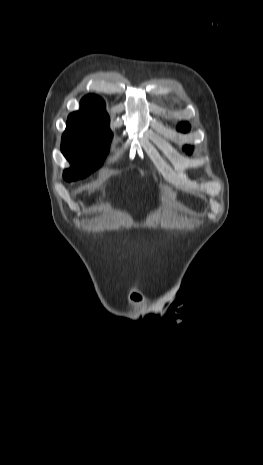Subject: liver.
I'll return each mask as SVG.
<instances>
[{
	"mask_svg": "<svg viewBox=\"0 0 263 465\" xmlns=\"http://www.w3.org/2000/svg\"><path fill=\"white\" fill-rule=\"evenodd\" d=\"M168 197L171 199V200H174L176 194L175 193H172V192H168L167 193Z\"/></svg>",
	"mask_w": 263,
	"mask_h": 465,
	"instance_id": "1",
	"label": "liver"
}]
</instances>
